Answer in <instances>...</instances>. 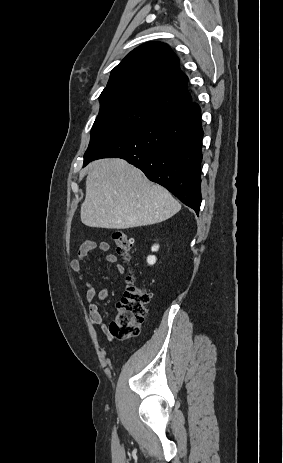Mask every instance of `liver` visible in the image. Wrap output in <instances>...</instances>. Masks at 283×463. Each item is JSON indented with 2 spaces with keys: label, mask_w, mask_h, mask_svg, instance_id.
Wrapping results in <instances>:
<instances>
[{
  "label": "liver",
  "mask_w": 283,
  "mask_h": 463,
  "mask_svg": "<svg viewBox=\"0 0 283 463\" xmlns=\"http://www.w3.org/2000/svg\"><path fill=\"white\" fill-rule=\"evenodd\" d=\"M181 209L168 190L150 183L122 159H101L87 169L81 221L95 228L127 229L163 222Z\"/></svg>",
  "instance_id": "liver-1"
}]
</instances>
